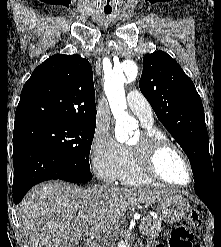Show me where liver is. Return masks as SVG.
<instances>
[{
  "instance_id": "liver-1",
  "label": "liver",
  "mask_w": 221,
  "mask_h": 247,
  "mask_svg": "<svg viewBox=\"0 0 221 247\" xmlns=\"http://www.w3.org/2000/svg\"><path fill=\"white\" fill-rule=\"evenodd\" d=\"M172 195L147 188L91 186L62 181L33 187L18 207L19 226L32 247H80L85 235L105 236L126 211Z\"/></svg>"
}]
</instances>
